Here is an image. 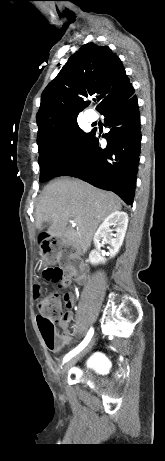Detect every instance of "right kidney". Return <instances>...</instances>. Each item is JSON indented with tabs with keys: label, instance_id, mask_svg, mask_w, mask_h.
<instances>
[{
	"label": "right kidney",
	"instance_id": "obj_1",
	"mask_svg": "<svg viewBox=\"0 0 165 461\" xmlns=\"http://www.w3.org/2000/svg\"><path fill=\"white\" fill-rule=\"evenodd\" d=\"M127 225L128 215L125 212L115 211L105 218V220L100 225L94 236V244L96 246V249L91 251L89 255L90 262L93 265L106 262V258H104L105 251H101L99 248V242L101 240L105 241L111 246V257L115 256L118 253L125 237ZM111 226L116 227V234H114V238H112L111 236Z\"/></svg>",
	"mask_w": 165,
	"mask_h": 461
}]
</instances>
